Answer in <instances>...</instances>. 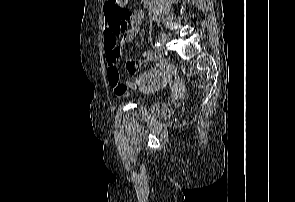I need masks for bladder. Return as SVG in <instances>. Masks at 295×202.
<instances>
[{
    "mask_svg": "<svg viewBox=\"0 0 295 202\" xmlns=\"http://www.w3.org/2000/svg\"><path fill=\"white\" fill-rule=\"evenodd\" d=\"M148 112L153 117H162L167 114V106L162 102L155 101L150 104Z\"/></svg>",
    "mask_w": 295,
    "mask_h": 202,
    "instance_id": "bladder-1",
    "label": "bladder"
}]
</instances>
